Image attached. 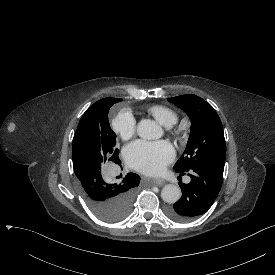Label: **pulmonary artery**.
<instances>
[{
    "label": "pulmonary artery",
    "instance_id": "pulmonary-artery-1",
    "mask_svg": "<svg viewBox=\"0 0 275 275\" xmlns=\"http://www.w3.org/2000/svg\"><path fill=\"white\" fill-rule=\"evenodd\" d=\"M190 181V178L189 177H186L185 178V182L188 183Z\"/></svg>",
    "mask_w": 275,
    "mask_h": 275
}]
</instances>
